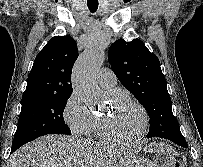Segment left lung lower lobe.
Masks as SVG:
<instances>
[{
    "instance_id": "0a47b994",
    "label": "left lung lower lobe",
    "mask_w": 203,
    "mask_h": 167,
    "mask_svg": "<svg viewBox=\"0 0 203 167\" xmlns=\"http://www.w3.org/2000/svg\"><path fill=\"white\" fill-rule=\"evenodd\" d=\"M166 139L176 143L177 145L179 146H182V147H188L184 137L182 135H166L165 137Z\"/></svg>"
}]
</instances>
